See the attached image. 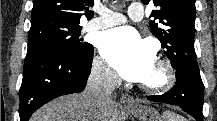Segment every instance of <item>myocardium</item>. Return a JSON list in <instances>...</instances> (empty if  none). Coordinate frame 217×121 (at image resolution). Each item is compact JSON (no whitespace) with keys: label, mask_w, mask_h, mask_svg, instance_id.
<instances>
[{"label":"myocardium","mask_w":217,"mask_h":121,"mask_svg":"<svg viewBox=\"0 0 217 121\" xmlns=\"http://www.w3.org/2000/svg\"><path fill=\"white\" fill-rule=\"evenodd\" d=\"M158 75L150 81L140 84L142 90L150 94L162 93L170 90L176 83V72L170 61L158 59L155 63Z\"/></svg>","instance_id":"obj_1"}]
</instances>
